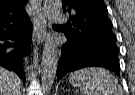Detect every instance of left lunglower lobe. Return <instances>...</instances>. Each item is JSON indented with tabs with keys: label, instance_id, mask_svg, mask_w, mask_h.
<instances>
[{
	"label": "left lung lower lobe",
	"instance_id": "left-lung-lower-lobe-1",
	"mask_svg": "<svg viewBox=\"0 0 135 95\" xmlns=\"http://www.w3.org/2000/svg\"><path fill=\"white\" fill-rule=\"evenodd\" d=\"M66 38L57 68L58 81L68 72L92 66L107 68L120 76L116 40L109 37L79 40Z\"/></svg>",
	"mask_w": 135,
	"mask_h": 95
}]
</instances>
